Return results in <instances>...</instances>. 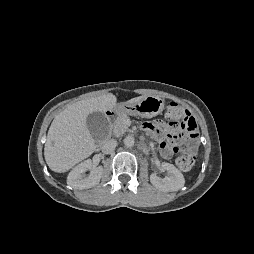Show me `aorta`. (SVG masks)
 Listing matches in <instances>:
<instances>
[{"label": "aorta", "instance_id": "1", "mask_svg": "<svg viewBox=\"0 0 254 254\" xmlns=\"http://www.w3.org/2000/svg\"><path fill=\"white\" fill-rule=\"evenodd\" d=\"M135 143V140L132 136H127L125 139H124V144L126 147H132Z\"/></svg>", "mask_w": 254, "mask_h": 254}]
</instances>
